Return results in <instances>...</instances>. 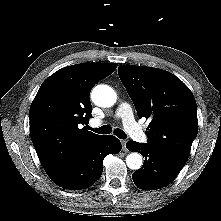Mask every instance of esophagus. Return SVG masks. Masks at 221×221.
<instances>
[{"instance_id":"34e87169","label":"esophagus","mask_w":221,"mask_h":221,"mask_svg":"<svg viewBox=\"0 0 221 221\" xmlns=\"http://www.w3.org/2000/svg\"><path fill=\"white\" fill-rule=\"evenodd\" d=\"M121 143H122V149L123 151H126V140H121Z\"/></svg>"}]
</instances>
